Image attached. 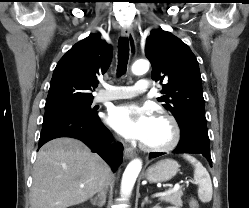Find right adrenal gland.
I'll return each mask as SVG.
<instances>
[{"mask_svg": "<svg viewBox=\"0 0 249 208\" xmlns=\"http://www.w3.org/2000/svg\"><path fill=\"white\" fill-rule=\"evenodd\" d=\"M90 201L93 205H97L99 207H102L106 202V197L104 195V197H103V199H101V201H98L97 199H91Z\"/></svg>", "mask_w": 249, "mask_h": 208, "instance_id": "right-adrenal-gland-1", "label": "right adrenal gland"}]
</instances>
